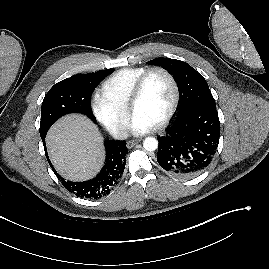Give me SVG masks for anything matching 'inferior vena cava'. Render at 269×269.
Returning <instances> with one entry per match:
<instances>
[{
    "label": "inferior vena cava",
    "mask_w": 269,
    "mask_h": 269,
    "mask_svg": "<svg viewBox=\"0 0 269 269\" xmlns=\"http://www.w3.org/2000/svg\"><path fill=\"white\" fill-rule=\"evenodd\" d=\"M111 135L118 140H125L129 136V132L127 129L123 127H119L116 129L111 130Z\"/></svg>",
    "instance_id": "obj_1"
}]
</instances>
